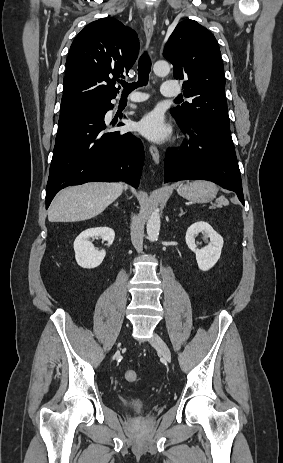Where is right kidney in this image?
<instances>
[{
	"mask_svg": "<svg viewBox=\"0 0 283 463\" xmlns=\"http://www.w3.org/2000/svg\"><path fill=\"white\" fill-rule=\"evenodd\" d=\"M100 236L107 241L110 246L115 238V232L109 227H97L87 229L79 234L74 241L75 259L82 268H95L99 266L105 258L104 250L98 251L90 242V238Z\"/></svg>",
	"mask_w": 283,
	"mask_h": 463,
	"instance_id": "obj_1",
	"label": "right kidney"
}]
</instances>
